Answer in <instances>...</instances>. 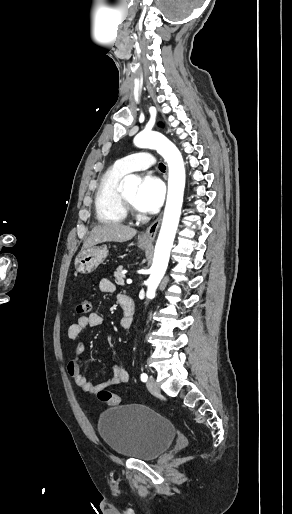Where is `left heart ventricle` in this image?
<instances>
[{"mask_svg":"<svg viewBox=\"0 0 292 514\" xmlns=\"http://www.w3.org/2000/svg\"><path fill=\"white\" fill-rule=\"evenodd\" d=\"M122 193L124 195V197L133 205L136 207V204H135V197H136V193H137V190L136 189H126V190H122Z\"/></svg>","mask_w":292,"mask_h":514,"instance_id":"left-heart-ventricle-1","label":"left heart ventricle"}]
</instances>
